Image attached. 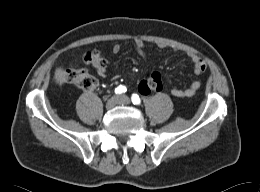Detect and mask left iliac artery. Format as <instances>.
<instances>
[{
    "mask_svg": "<svg viewBox=\"0 0 260 192\" xmlns=\"http://www.w3.org/2000/svg\"><path fill=\"white\" fill-rule=\"evenodd\" d=\"M131 100H132L133 104H135V105L141 104V99L137 94H133L131 97Z\"/></svg>",
    "mask_w": 260,
    "mask_h": 192,
    "instance_id": "44dca946",
    "label": "left iliac artery"
}]
</instances>
